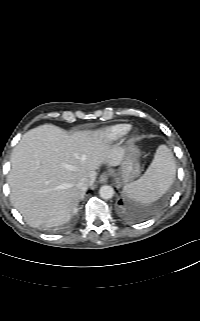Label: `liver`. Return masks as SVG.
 <instances>
[{
	"label": "liver",
	"instance_id": "liver-1",
	"mask_svg": "<svg viewBox=\"0 0 200 321\" xmlns=\"http://www.w3.org/2000/svg\"><path fill=\"white\" fill-rule=\"evenodd\" d=\"M124 153L121 147L111 146L102 132L69 135L52 124L31 129L11 154V202L32 227L62 225L85 193L77 182L85 178L92 186L96 170L102 164L120 165Z\"/></svg>",
	"mask_w": 200,
	"mask_h": 321
}]
</instances>
